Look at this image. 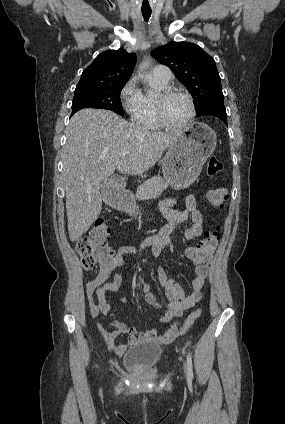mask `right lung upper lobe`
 <instances>
[{
  "instance_id": "right-lung-upper-lobe-1",
  "label": "right lung upper lobe",
  "mask_w": 285,
  "mask_h": 424,
  "mask_svg": "<svg viewBox=\"0 0 285 424\" xmlns=\"http://www.w3.org/2000/svg\"><path fill=\"white\" fill-rule=\"evenodd\" d=\"M136 63V55L123 48L99 54L82 73L77 86L126 83Z\"/></svg>"
}]
</instances>
